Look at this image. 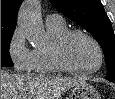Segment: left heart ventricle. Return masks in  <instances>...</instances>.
Here are the masks:
<instances>
[{
  "label": "left heart ventricle",
  "mask_w": 115,
  "mask_h": 99,
  "mask_svg": "<svg viewBox=\"0 0 115 99\" xmlns=\"http://www.w3.org/2000/svg\"><path fill=\"white\" fill-rule=\"evenodd\" d=\"M64 55L70 65L82 70L91 69L98 63L96 48L82 35H74L67 41Z\"/></svg>",
  "instance_id": "1"
}]
</instances>
